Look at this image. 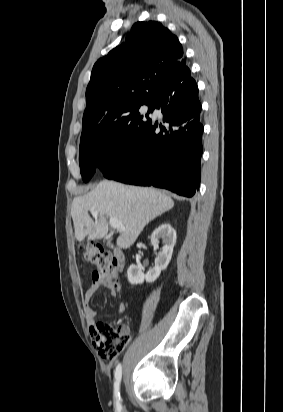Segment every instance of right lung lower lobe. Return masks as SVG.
<instances>
[{"label":"right lung lower lobe","instance_id":"1","mask_svg":"<svg viewBox=\"0 0 283 412\" xmlns=\"http://www.w3.org/2000/svg\"><path fill=\"white\" fill-rule=\"evenodd\" d=\"M155 108L165 126L150 121L123 157L100 167L123 183L165 188L191 197L199 188L203 125L195 80L189 76L166 88Z\"/></svg>","mask_w":283,"mask_h":412}]
</instances>
